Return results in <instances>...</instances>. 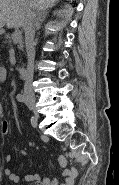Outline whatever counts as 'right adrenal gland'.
Instances as JSON below:
<instances>
[{"label":"right adrenal gland","instance_id":"2a0ac1e0","mask_svg":"<svg viewBox=\"0 0 119 185\" xmlns=\"http://www.w3.org/2000/svg\"><path fill=\"white\" fill-rule=\"evenodd\" d=\"M48 12L46 10H37L35 18V28L36 30L40 29L41 23L45 20Z\"/></svg>","mask_w":119,"mask_h":185}]
</instances>
